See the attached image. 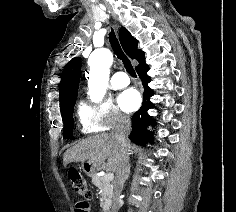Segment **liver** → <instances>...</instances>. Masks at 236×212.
I'll return each instance as SVG.
<instances>
[{"label": "liver", "instance_id": "obj_1", "mask_svg": "<svg viewBox=\"0 0 236 212\" xmlns=\"http://www.w3.org/2000/svg\"><path fill=\"white\" fill-rule=\"evenodd\" d=\"M128 150L137 151L138 147L128 143ZM122 157V147L112 134H100L88 137L68 149L63 156V165L66 167L71 162L88 161L97 168L106 167L107 170L116 172ZM107 159L106 165L104 161Z\"/></svg>", "mask_w": 236, "mask_h": 212}]
</instances>
